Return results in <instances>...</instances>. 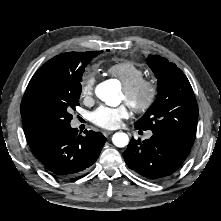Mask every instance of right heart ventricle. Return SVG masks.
Instances as JSON below:
<instances>
[{
    "instance_id": "obj_1",
    "label": "right heart ventricle",
    "mask_w": 221,
    "mask_h": 221,
    "mask_svg": "<svg viewBox=\"0 0 221 221\" xmlns=\"http://www.w3.org/2000/svg\"><path fill=\"white\" fill-rule=\"evenodd\" d=\"M107 72L118 79L121 84L128 85L144 77L143 69L132 61H120L110 65Z\"/></svg>"
}]
</instances>
